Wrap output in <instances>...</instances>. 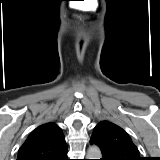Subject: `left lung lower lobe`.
I'll return each mask as SVG.
<instances>
[{
	"label": "left lung lower lobe",
	"instance_id": "obj_1",
	"mask_svg": "<svg viewBox=\"0 0 160 160\" xmlns=\"http://www.w3.org/2000/svg\"><path fill=\"white\" fill-rule=\"evenodd\" d=\"M91 144H96L93 140H90ZM97 145V144H96ZM103 157L101 158V160H108V158L105 156L104 153H102Z\"/></svg>",
	"mask_w": 160,
	"mask_h": 160
}]
</instances>
